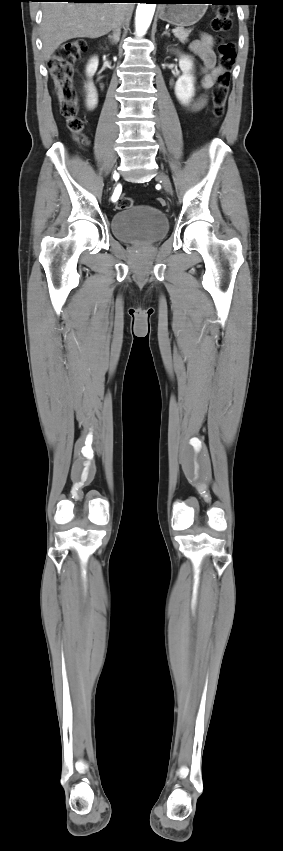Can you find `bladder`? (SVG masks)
<instances>
[{
	"label": "bladder",
	"mask_w": 283,
	"mask_h": 851,
	"mask_svg": "<svg viewBox=\"0 0 283 851\" xmlns=\"http://www.w3.org/2000/svg\"><path fill=\"white\" fill-rule=\"evenodd\" d=\"M169 229L165 213L149 205H136L116 212L111 219L113 235L120 241L151 243Z\"/></svg>",
	"instance_id": "bladder-1"
}]
</instances>
